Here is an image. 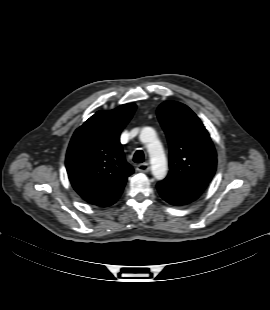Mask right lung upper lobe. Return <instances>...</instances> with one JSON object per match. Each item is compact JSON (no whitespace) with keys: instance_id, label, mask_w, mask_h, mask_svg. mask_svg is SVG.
Instances as JSON below:
<instances>
[{"instance_id":"right-lung-upper-lobe-1","label":"right lung upper lobe","mask_w":270,"mask_h":310,"mask_svg":"<svg viewBox=\"0 0 270 310\" xmlns=\"http://www.w3.org/2000/svg\"><path fill=\"white\" fill-rule=\"evenodd\" d=\"M134 104L98 111L74 133L66 169L74 190L88 203L100 205L120 193L134 172L126 162L120 133L132 118Z\"/></svg>"}]
</instances>
